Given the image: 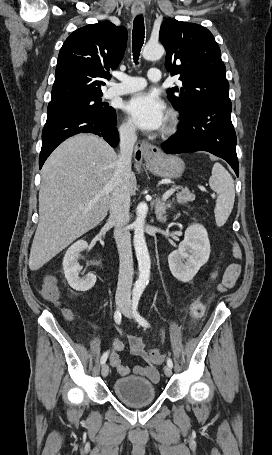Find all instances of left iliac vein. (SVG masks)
<instances>
[{
	"mask_svg": "<svg viewBox=\"0 0 272 455\" xmlns=\"http://www.w3.org/2000/svg\"><path fill=\"white\" fill-rule=\"evenodd\" d=\"M123 314L128 317L132 318L133 317V311L131 307V301L129 299L126 300L124 307L122 308ZM164 373L167 377H170L172 374V369L170 366L166 365L164 367Z\"/></svg>",
	"mask_w": 272,
	"mask_h": 455,
	"instance_id": "4c4485c4",
	"label": "left iliac vein"
}]
</instances>
